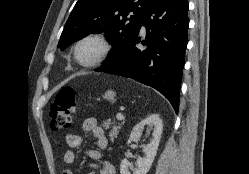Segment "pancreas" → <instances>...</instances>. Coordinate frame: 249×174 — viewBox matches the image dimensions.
Returning a JSON list of instances; mask_svg holds the SVG:
<instances>
[{
  "mask_svg": "<svg viewBox=\"0 0 249 174\" xmlns=\"http://www.w3.org/2000/svg\"><path fill=\"white\" fill-rule=\"evenodd\" d=\"M103 127L105 129H110L109 131V137L111 140L115 139L119 133V129L122 127V125L120 123H118L117 125H115V121H113L112 119H107L103 122Z\"/></svg>",
  "mask_w": 249,
  "mask_h": 174,
  "instance_id": "1",
  "label": "pancreas"
}]
</instances>
